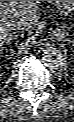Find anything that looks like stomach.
Listing matches in <instances>:
<instances>
[{
	"label": "stomach",
	"mask_w": 74,
	"mask_h": 122,
	"mask_svg": "<svg viewBox=\"0 0 74 122\" xmlns=\"http://www.w3.org/2000/svg\"><path fill=\"white\" fill-rule=\"evenodd\" d=\"M57 8L62 12H71L74 8V1H54Z\"/></svg>",
	"instance_id": "obj_1"
}]
</instances>
